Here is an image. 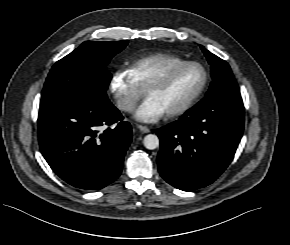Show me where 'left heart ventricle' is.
Here are the masks:
<instances>
[{"mask_svg": "<svg viewBox=\"0 0 290 245\" xmlns=\"http://www.w3.org/2000/svg\"><path fill=\"white\" fill-rule=\"evenodd\" d=\"M202 82L200 68L186 67L172 73L162 85L147 90L146 95L154 97L168 112L184 104Z\"/></svg>", "mask_w": 290, "mask_h": 245, "instance_id": "b2bd125f", "label": "left heart ventricle"}]
</instances>
